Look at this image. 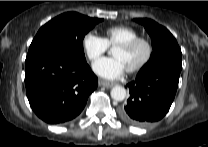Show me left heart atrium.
Returning <instances> with one entry per match:
<instances>
[{
    "instance_id": "obj_1",
    "label": "left heart atrium",
    "mask_w": 208,
    "mask_h": 147,
    "mask_svg": "<svg viewBox=\"0 0 208 147\" xmlns=\"http://www.w3.org/2000/svg\"><path fill=\"white\" fill-rule=\"evenodd\" d=\"M94 71L105 79H117L127 70L124 62L118 57L102 58L93 65Z\"/></svg>"
}]
</instances>
